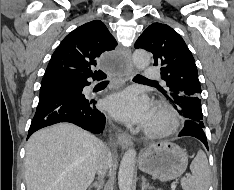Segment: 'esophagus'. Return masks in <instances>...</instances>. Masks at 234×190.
Here are the masks:
<instances>
[{
	"instance_id": "esophagus-1",
	"label": "esophagus",
	"mask_w": 234,
	"mask_h": 190,
	"mask_svg": "<svg viewBox=\"0 0 234 190\" xmlns=\"http://www.w3.org/2000/svg\"><path fill=\"white\" fill-rule=\"evenodd\" d=\"M125 56L129 60V65H127V70H128L127 77H129L130 75L133 74V66L131 64V52L129 49L126 50ZM118 143L123 149H126L133 145L131 136L123 132L118 133Z\"/></svg>"
}]
</instances>
